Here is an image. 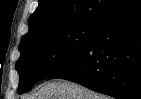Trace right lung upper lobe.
Segmentation results:
<instances>
[{
  "mask_svg": "<svg viewBox=\"0 0 141 99\" xmlns=\"http://www.w3.org/2000/svg\"><path fill=\"white\" fill-rule=\"evenodd\" d=\"M129 0H39L22 42L80 21H100Z\"/></svg>",
  "mask_w": 141,
  "mask_h": 99,
  "instance_id": "right-lung-upper-lobe-1",
  "label": "right lung upper lobe"
}]
</instances>
